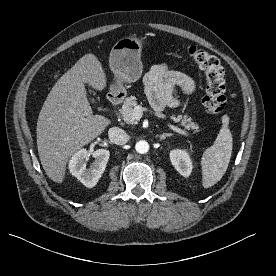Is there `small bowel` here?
I'll use <instances>...</instances> for the list:
<instances>
[{
	"mask_svg": "<svg viewBox=\"0 0 276 276\" xmlns=\"http://www.w3.org/2000/svg\"><path fill=\"white\" fill-rule=\"evenodd\" d=\"M144 84L148 98L158 113L166 107L179 106V101L173 96L174 87H180L187 94L193 93L196 87L190 76L165 64L151 68L144 77Z\"/></svg>",
	"mask_w": 276,
	"mask_h": 276,
	"instance_id": "1",
	"label": "small bowel"
}]
</instances>
